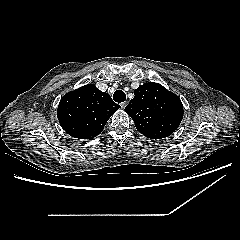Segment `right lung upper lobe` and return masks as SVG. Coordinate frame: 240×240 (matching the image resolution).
I'll return each instance as SVG.
<instances>
[{
  "label": "right lung upper lobe",
  "instance_id": "obj_1",
  "mask_svg": "<svg viewBox=\"0 0 240 240\" xmlns=\"http://www.w3.org/2000/svg\"><path fill=\"white\" fill-rule=\"evenodd\" d=\"M120 106L109 94L88 84L65 94L57 116L62 128L72 137L92 139L102 132L110 116Z\"/></svg>",
  "mask_w": 240,
  "mask_h": 240
}]
</instances>
